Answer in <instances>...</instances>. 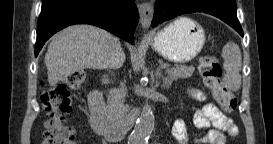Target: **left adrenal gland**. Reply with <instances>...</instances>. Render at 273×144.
Instances as JSON below:
<instances>
[{
  "instance_id": "a2214340",
  "label": "left adrenal gland",
  "mask_w": 273,
  "mask_h": 144,
  "mask_svg": "<svg viewBox=\"0 0 273 144\" xmlns=\"http://www.w3.org/2000/svg\"><path fill=\"white\" fill-rule=\"evenodd\" d=\"M155 76H156L157 80L162 77V79H163L162 87L163 88L169 89L171 87L174 79H172L171 77H163L160 69H157ZM158 83H159V81H158Z\"/></svg>"
}]
</instances>
